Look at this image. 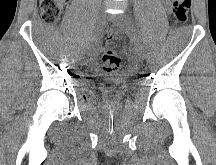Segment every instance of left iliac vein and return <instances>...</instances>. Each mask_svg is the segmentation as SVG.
I'll use <instances>...</instances> for the list:
<instances>
[{"label":"left iliac vein","instance_id":"obj_1","mask_svg":"<svg viewBox=\"0 0 216 165\" xmlns=\"http://www.w3.org/2000/svg\"><path fill=\"white\" fill-rule=\"evenodd\" d=\"M110 20L113 21L117 26H119L132 40L134 43V52L136 58L143 62L145 59V51L141 43L139 42L135 27L133 22L126 14H119L111 16Z\"/></svg>","mask_w":216,"mask_h":165}]
</instances>
